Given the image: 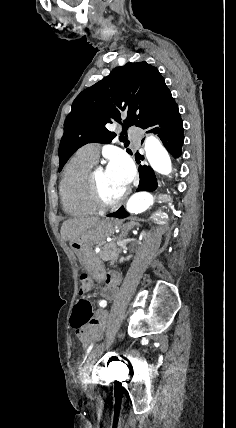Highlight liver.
Listing matches in <instances>:
<instances>
[{"mask_svg": "<svg viewBox=\"0 0 236 428\" xmlns=\"http://www.w3.org/2000/svg\"><path fill=\"white\" fill-rule=\"evenodd\" d=\"M98 218H71L63 222L60 230L61 238L64 242H75L80 238L83 232H86L91 226L97 224Z\"/></svg>", "mask_w": 236, "mask_h": 428, "instance_id": "liver-1", "label": "liver"}]
</instances>
